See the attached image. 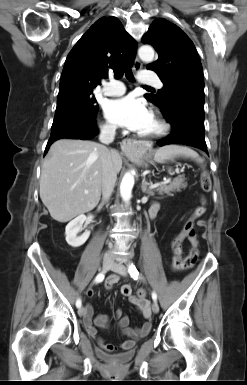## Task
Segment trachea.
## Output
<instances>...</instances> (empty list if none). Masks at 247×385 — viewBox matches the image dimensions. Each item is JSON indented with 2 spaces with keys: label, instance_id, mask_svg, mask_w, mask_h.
<instances>
[{
  "label": "trachea",
  "instance_id": "1",
  "mask_svg": "<svg viewBox=\"0 0 247 385\" xmlns=\"http://www.w3.org/2000/svg\"><path fill=\"white\" fill-rule=\"evenodd\" d=\"M124 73H125V76L127 77V79H129L130 81L134 80V76H133L131 69H129V68L125 69L124 67L118 68V70L115 73V77L117 79H119V78L123 77ZM145 87L150 88L149 86H145Z\"/></svg>",
  "mask_w": 247,
  "mask_h": 385
}]
</instances>
